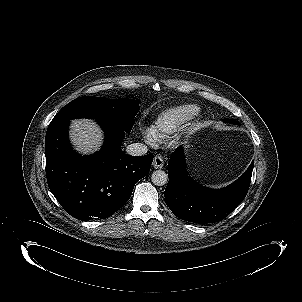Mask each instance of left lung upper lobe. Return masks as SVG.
Wrapping results in <instances>:
<instances>
[{"label":"left lung upper lobe","mask_w":302,"mask_h":302,"mask_svg":"<svg viewBox=\"0 0 302 302\" xmlns=\"http://www.w3.org/2000/svg\"><path fill=\"white\" fill-rule=\"evenodd\" d=\"M225 121L230 122V123H233V124H237V122H236V121L231 120V119H226Z\"/></svg>","instance_id":"obj_1"}]
</instances>
